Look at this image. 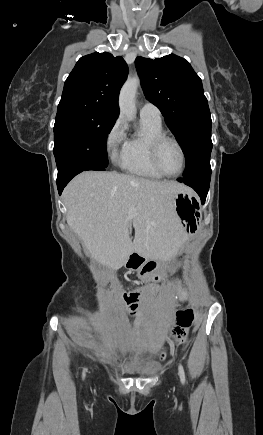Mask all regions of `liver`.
I'll list each match as a JSON object with an SVG mask.
<instances>
[{"label":"liver","instance_id":"obj_1","mask_svg":"<svg viewBox=\"0 0 263 435\" xmlns=\"http://www.w3.org/2000/svg\"><path fill=\"white\" fill-rule=\"evenodd\" d=\"M186 190L176 181L87 171L66 186L62 197L67 223L87 252L116 270L134 252L161 261L177 255L187 233L177 217L173 198ZM132 206L134 216L129 219ZM132 225L133 241L129 234Z\"/></svg>","mask_w":263,"mask_h":435}]
</instances>
